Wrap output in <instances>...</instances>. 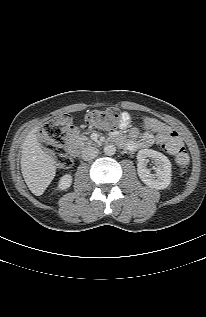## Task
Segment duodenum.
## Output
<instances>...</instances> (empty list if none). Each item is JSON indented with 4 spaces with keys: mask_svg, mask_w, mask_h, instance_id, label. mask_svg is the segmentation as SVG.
<instances>
[{
    "mask_svg": "<svg viewBox=\"0 0 206 317\" xmlns=\"http://www.w3.org/2000/svg\"><path fill=\"white\" fill-rule=\"evenodd\" d=\"M67 149L70 155L73 157H78L80 155V146L73 140L68 142Z\"/></svg>",
    "mask_w": 206,
    "mask_h": 317,
    "instance_id": "obj_1",
    "label": "duodenum"
}]
</instances>
